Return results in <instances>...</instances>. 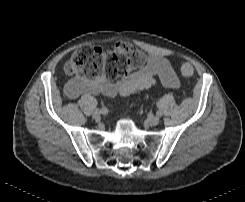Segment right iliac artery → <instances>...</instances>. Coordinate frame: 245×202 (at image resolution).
Instances as JSON below:
<instances>
[{"label":"right iliac artery","mask_w":245,"mask_h":202,"mask_svg":"<svg viewBox=\"0 0 245 202\" xmlns=\"http://www.w3.org/2000/svg\"><path fill=\"white\" fill-rule=\"evenodd\" d=\"M101 110L104 112V114L107 113V109L106 108L103 107Z\"/></svg>","instance_id":"82829eb1"}]
</instances>
